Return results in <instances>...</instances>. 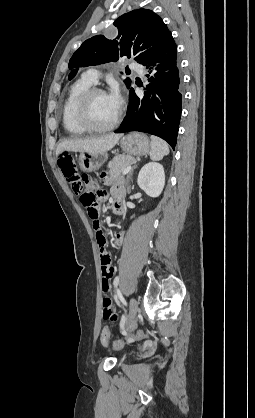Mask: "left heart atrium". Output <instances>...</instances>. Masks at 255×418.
<instances>
[{
    "mask_svg": "<svg viewBox=\"0 0 255 418\" xmlns=\"http://www.w3.org/2000/svg\"><path fill=\"white\" fill-rule=\"evenodd\" d=\"M108 98L111 102V104L114 106V108L118 111L123 103L122 96L118 89H113L109 94Z\"/></svg>",
    "mask_w": 255,
    "mask_h": 418,
    "instance_id": "1",
    "label": "left heart atrium"
}]
</instances>
